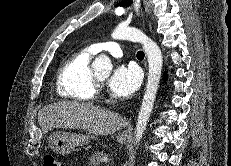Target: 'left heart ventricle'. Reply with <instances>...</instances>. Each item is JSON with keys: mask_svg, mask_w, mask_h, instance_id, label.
Instances as JSON below:
<instances>
[{"mask_svg": "<svg viewBox=\"0 0 231 166\" xmlns=\"http://www.w3.org/2000/svg\"><path fill=\"white\" fill-rule=\"evenodd\" d=\"M98 78H99L101 81H103V80L105 79V77H104V76H101V75H98Z\"/></svg>", "mask_w": 231, "mask_h": 166, "instance_id": "1", "label": "left heart ventricle"}]
</instances>
